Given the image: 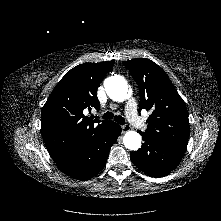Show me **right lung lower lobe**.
Wrapping results in <instances>:
<instances>
[{
    "instance_id": "1",
    "label": "right lung lower lobe",
    "mask_w": 221,
    "mask_h": 221,
    "mask_svg": "<svg viewBox=\"0 0 221 221\" xmlns=\"http://www.w3.org/2000/svg\"><path fill=\"white\" fill-rule=\"evenodd\" d=\"M121 133V126L111 121L109 126L85 147L68 159L57 162L58 168L67 175L87 180L104 167L110 148Z\"/></svg>"
}]
</instances>
